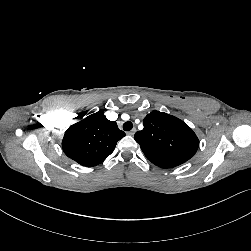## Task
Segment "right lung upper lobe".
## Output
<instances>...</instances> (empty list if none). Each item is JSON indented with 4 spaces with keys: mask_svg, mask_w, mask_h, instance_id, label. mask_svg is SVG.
<instances>
[{
    "mask_svg": "<svg viewBox=\"0 0 251 251\" xmlns=\"http://www.w3.org/2000/svg\"><path fill=\"white\" fill-rule=\"evenodd\" d=\"M124 136L115 121L108 120L102 111H98L67 129L62 148L69 158L91 167L103 162Z\"/></svg>",
    "mask_w": 251,
    "mask_h": 251,
    "instance_id": "1",
    "label": "right lung upper lobe"
}]
</instances>
